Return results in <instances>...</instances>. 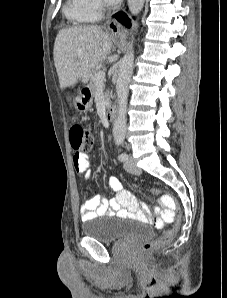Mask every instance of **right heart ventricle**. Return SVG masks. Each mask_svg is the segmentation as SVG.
I'll use <instances>...</instances> for the list:
<instances>
[{"label":"right heart ventricle","mask_w":227,"mask_h":298,"mask_svg":"<svg viewBox=\"0 0 227 298\" xmlns=\"http://www.w3.org/2000/svg\"><path fill=\"white\" fill-rule=\"evenodd\" d=\"M63 13L74 24H88L99 16L90 0H66Z\"/></svg>","instance_id":"1"}]
</instances>
